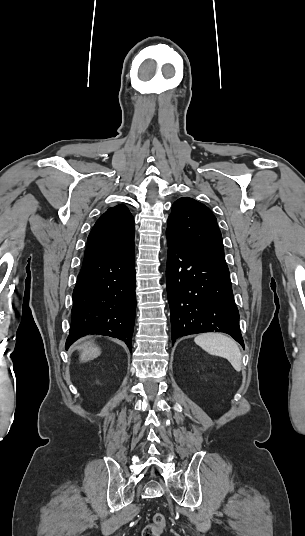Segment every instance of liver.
Returning <instances> with one entry per match:
<instances>
[{
    "label": "liver",
    "mask_w": 305,
    "mask_h": 536,
    "mask_svg": "<svg viewBox=\"0 0 305 536\" xmlns=\"http://www.w3.org/2000/svg\"><path fill=\"white\" fill-rule=\"evenodd\" d=\"M79 350H82L80 360L81 362H89V360H94L100 356L99 348H96L95 344L92 342H86L84 346H81Z\"/></svg>",
    "instance_id": "1"
}]
</instances>
